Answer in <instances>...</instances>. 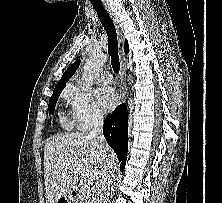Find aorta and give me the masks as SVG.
Returning <instances> with one entry per match:
<instances>
[{"label": "aorta", "instance_id": "1", "mask_svg": "<svg viewBox=\"0 0 222 203\" xmlns=\"http://www.w3.org/2000/svg\"><path fill=\"white\" fill-rule=\"evenodd\" d=\"M108 56L103 53H93L87 59L84 67L82 78L80 82V87L83 91H88L91 89V86L100 72L102 66L107 61Z\"/></svg>", "mask_w": 222, "mask_h": 203}]
</instances>
